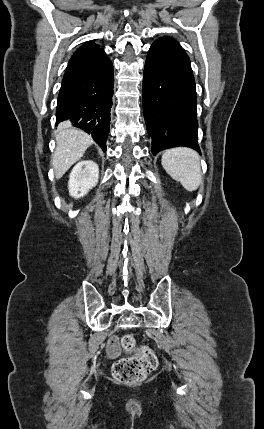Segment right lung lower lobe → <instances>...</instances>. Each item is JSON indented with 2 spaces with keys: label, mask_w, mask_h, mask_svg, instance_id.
Returning <instances> with one entry per match:
<instances>
[{
  "label": "right lung lower lobe",
  "mask_w": 264,
  "mask_h": 429,
  "mask_svg": "<svg viewBox=\"0 0 264 429\" xmlns=\"http://www.w3.org/2000/svg\"><path fill=\"white\" fill-rule=\"evenodd\" d=\"M113 66L103 50L67 67L58 96L56 126L70 121L106 151L113 96Z\"/></svg>",
  "instance_id": "obj_1"
}]
</instances>
